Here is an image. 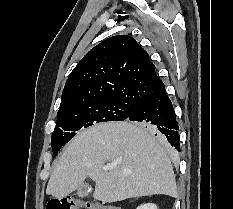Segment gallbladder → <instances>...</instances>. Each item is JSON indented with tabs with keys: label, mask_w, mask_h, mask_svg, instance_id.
Wrapping results in <instances>:
<instances>
[{
	"label": "gallbladder",
	"mask_w": 233,
	"mask_h": 209,
	"mask_svg": "<svg viewBox=\"0 0 233 209\" xmlns=\"http://www.w3.org/2000/svg\"><path fill=\"white\" fill-rule=\"evenodd\" d=\"M90 186L87 184H83L82 186H80L77 190V195L79 197H86L90 194Z\"/></svg>",
	"instance_id": "bac80fb5"
}]
</instances>
